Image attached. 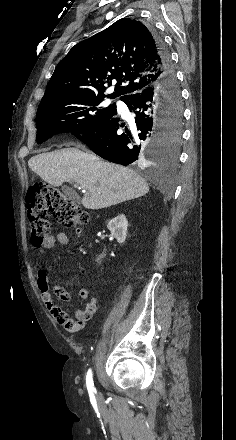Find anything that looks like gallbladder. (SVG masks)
Here are the masks:
<instances>
[{"label": "gallbladder", "instance_id": "gallbladder-1", "mask_svg": "<svg viewBox=\"0 0 236 440\" xmlns=\"http://www.w3.org/2000/svg\"><path fill=\"white\" fill-rule=\"evenodd\" d=\"M62 191L69 199L75 202H79L78 196L74 193V191L71 188L64 186L62 187Z\"/></svg>", "mask_w": 236, "mask_h": 440}]
</instances>
